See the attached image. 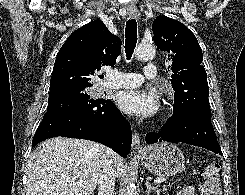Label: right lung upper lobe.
I'll list each match as a JSON object with an SVG mask.
<instances>
[{"label":"right lung upper lobe","mask_w":245,"mask_h":195,"mask_svg":"<svg viewBox=\"0 0 245 195\" xmlns=\"http://www.w3.org/2000/svg\"><path fill=\"white\" fill-rule=\"evenodd\" d=\"M120 53V38L102 21L94 20L75 30L57 54L49 94L91 87L94 73L103 66L113 67Z\"/></svg>","instance_id":"right-lung-upper-lobe-1"}]
</instances>
